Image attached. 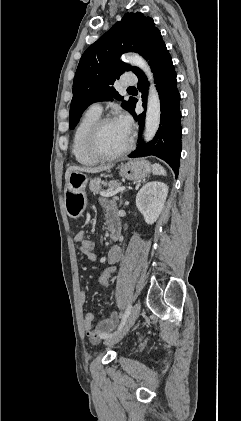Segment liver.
I'll list each match as a JSON object with an SVG mask.
<instances>
[{"instance_id":"liver-1","label":"liver","mask_w":241,"mask_h":421,"mask_svg":"<svg viewBox=\"0 0 241 421\" xmlns=\"http://www.w3.org/2000/svg\"><path fill=\"white\" fill-rule=\"evenodd\" d=\"M113 165H106V166H98V167H81V166H70L65 173V180L68 181V178L71 172L78 171V172H85V173H99L105 170H109L112 168Z\"/></svg>"}]
</instances>
